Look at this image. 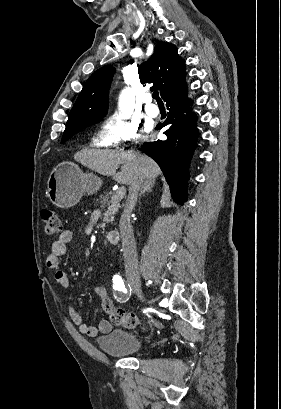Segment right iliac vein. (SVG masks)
Listing matches in <instances>:
<instances>
[{"instance_id": "63e3f726", "label": "right iliac vein", "mask_w": 281, "mask_h": 409, "mask_svg": "<svg viewBox=\"0 0 281 409\" xmlns=\"http://www.w3.org/2000/svg\"><path fill=\"white\" fill-rule=\"evenodd\" d=\"M130 287H131V290L137 295V297L140 300H142L143 302L146 301V299L144 297V294H143V291H142V288H141V285H140L139 282H137V281L130 282Z\"/></svg>"}]
</instances>
